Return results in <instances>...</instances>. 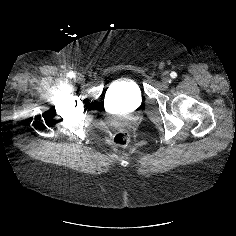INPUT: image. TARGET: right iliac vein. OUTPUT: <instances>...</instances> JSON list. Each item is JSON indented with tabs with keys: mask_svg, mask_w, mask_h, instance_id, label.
<instances>
[{
	"mask_svg": "<svg viewBox=\"0 0 236 236\" xmlns=\"http://www.w3.org/2000/svg\"><path fill=\"white\" fill-rule=\"evenodd\" d=\"M75 80L79 83H82V82H84V77L82 75L78 74L75 76Z\"/></svg>",
	"mask_w": 236,
	"mask_h": 236,
	"instance_id": "obj_1",
	"label": "right iliac vein"
}]
</instances>
